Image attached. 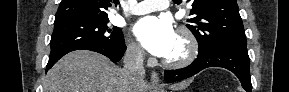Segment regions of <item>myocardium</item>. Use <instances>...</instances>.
Wrapping results in <instances>:
<instances>
[{
	"mask_svg": "<svg viewBox=\"0 0 289 92\" xmlns=\"http://www.w3.org/2000/svg\"><path fill=\"white\" fill-rule=\"evenodd\" d=\"M177 36L184 42L186 51L183 56L176 59L163 60V64L168 68H182L191 64L198 55L199 45L194 34L185 26L177 30Z\"/></svg>",
	"mask_w": 289,
	"mask_h": 92,
	"instance_id": "1",
	"label": "myocardium"
}]
</instances>
